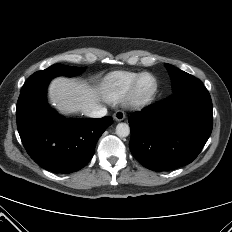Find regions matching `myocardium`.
Returning a JSON list of instances; mask_svg holds the SVG:
<instances>
[{"instance_id": "myocardium-1", "label": "myocardium", "mask_w": 232, "mask_h": 232, "mask_svg": "<svg viewBox=\"0 0 232 232\" xmlns=\"http://www.w3.org/2000/svg\"><path fill=\"white\" fill-rule=\"evenodd\" d=\"M149 78L151 80V86L149 89L141 90V83L143 79ZM158 89V83L156 78L150 73H142L135 80L128 96L127 103L129 106L139 108L150 103L155 97Z\"/></svg>"}]
</instances>
